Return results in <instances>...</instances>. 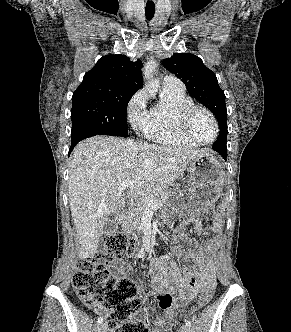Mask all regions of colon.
<instances>
[{
    "label": "colon",
    "instance_id": "5ec220e1",
    "mask_svg": "<svg viewBox=\"0 0 291 332\" xmlns=\"http://www.w3.org/2000/svg\"><path fill=\"white\" fill-rule=\"evenodd\" d=\"M219 221L217 217L215 222ZM136 245V240L125 233L108 234L104 239V247L92 259L77 263L72 278L79 298L88 308L104 314L110 332H150L145 322L135 318L141 308L136 284L129 279L116 277L108 269L109 263L131 256ZM213 293L214 287L203 291L199 306H205Z\"/></svg>",
    "mask_w": 291,
    "mask_h": 332
}]
</instances>
